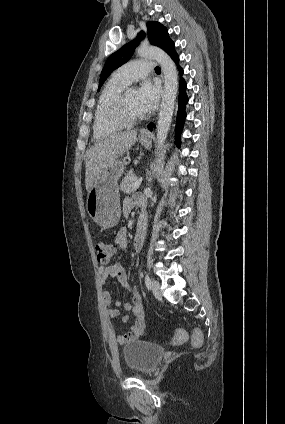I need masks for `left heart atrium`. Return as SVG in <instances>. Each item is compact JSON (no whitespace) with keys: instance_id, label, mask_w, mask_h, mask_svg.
<instances>
[{"instance_id":"1","label":"left heart atrium","mask_w":285,"mask_h":424,"mask_svg":"<svg viewBox=\"0 0 285 424\" xmlns=\"http://www.w3.org/2000/svg\"><path fill=\"white\" fill-rule=\"evenodd\" d=\"M159 96L160 90L156 85L149 81L143 82L136 95V101L140 111L143 114L154 111L158 105Z\"/></svg>"}]
</instances>
